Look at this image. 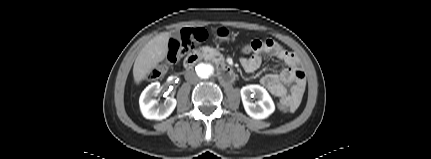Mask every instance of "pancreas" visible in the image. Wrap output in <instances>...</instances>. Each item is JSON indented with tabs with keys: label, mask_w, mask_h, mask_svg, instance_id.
Here are the masks:
<instances>
[{
	"label": "pancreas",
	"mask_w": 431,
	"mask_h": 159,
	"mask_svg": "<svg viewBox=\"0 0 431 159\" xmlns=\"http://www.w3.org/2000/svg\"><path fill=\"white\" fill-rule=\"evenodd\" d=\"M201 50L206 59H213L215 56H221L219 51L208 46L202 47Z\"/></svg>",
	"instance_id": "pancreas-1"
}]
</instances>
